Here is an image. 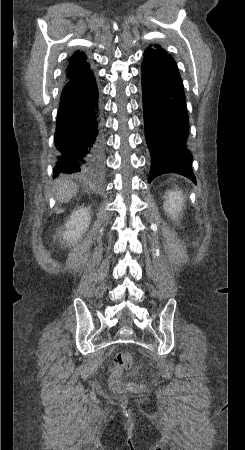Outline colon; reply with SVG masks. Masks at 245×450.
<instances>
[{"mask_svg":"<svg viewBox=\"0 0 245 450\" xmlns=\"http://www.w3.org/2000/svg\"><path fill=\"white\" fill-rule=\"evenodd\" d=\"M114 372L110 377L109 383L114 391L132 389L141 391L145 388L144 384L137 381L122 382V377L132 365V356L128 352H119L114 356Z\"/></svg>","mask_w":245,"mask_h":450,"instance_id":"obj_1","label":"colon"}]
</instances>
